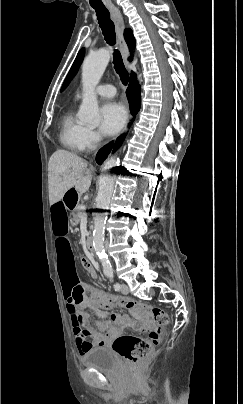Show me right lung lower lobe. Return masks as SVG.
Instances as JSON below:
<instances>
[{"mask_svg": "<svg viewBox=\"0 0 243 404\" xmlns=\"http://www.w3.org/2000/svg\"><path fill=\"white\" fill-rule=\"evenodd\" d=\"M128 101L130 104V109L133 115L139 111L140 103H141V95H140V85L137 82L136 74L131 75L130 85L126 91ZM123 137L117 139L114 144V150H116L122 143ZM113 142L105 145L101 148L96 156L97 163L101 164L103 160L107 157L112 149Z\"/></svg>", "mask_w": 243, "mask_h": 404, "instance_id": "right-lung-lower-lobe-1", "label": "right lung lower lobe"}]
</instances>
